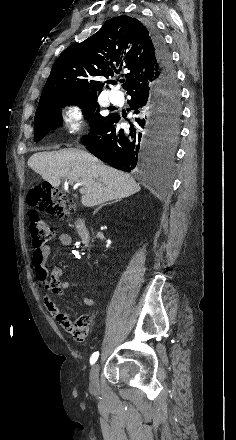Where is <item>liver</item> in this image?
<instances>
[{
  "label": "liver",
  "instance_id": "1",
  "mask_svg": "<svg viewBox=\"0 0 236 440\" xmlns=\"http://www.w3.org/2000/svg\"><path fill=\"white\" fill-rule=\"evenodd\" d=\"M28 166L54 187H58L63 178L80 184L85 207L126 198L141 189L129 174L103 164L80 149L38 152L28 159Z\"/></svg>",
  "mask_w": 236,
  "mask_h": 440
}]
</instances>
